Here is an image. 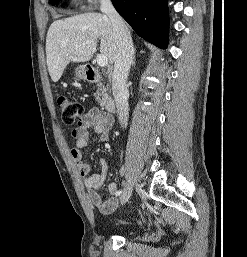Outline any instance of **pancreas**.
<instances>
[{
  "mask_svg": "<svg viewBox=\"0 0 247 257\" xmlns=\"http://www.w3.org/2000/svg\"><path fill=\"white\" fill-rule=\"evenodd\" d=\"M98 89L95 93V99L96 101L100 104V106H105L106 102H107V92L109 90L108 86L106 87L105 85H103L102 83H99L97 85Z\"/></svg>",
  "mask_w": 247,
  "mask_h": 257,
  "instance_id": "pancreas-1",
  "label": "pancreas"
}]
</instances>
